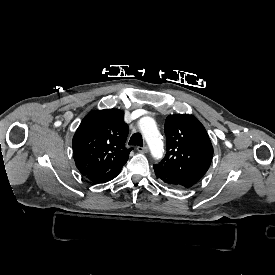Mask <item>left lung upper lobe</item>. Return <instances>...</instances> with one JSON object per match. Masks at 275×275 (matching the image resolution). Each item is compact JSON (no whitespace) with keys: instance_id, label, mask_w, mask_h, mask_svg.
I'll return each mask as SVG.
<instances>
[{"instance_id":"1","label":"left lung upper lobe","mask_w":275,"mask_h":275,"mask_svg":"<svg viewBox=\"0 0 275 275\" xmlns=\"http://www.w3.org/2000/svg\"><path fill=\"white\" fill-rule=\"evenodd\" d=\"M167 153L158 164L185 188L197 183L207 172L213 146L201 122L193 115H169L165 121Z\"/></svg>"}]
</instances>
